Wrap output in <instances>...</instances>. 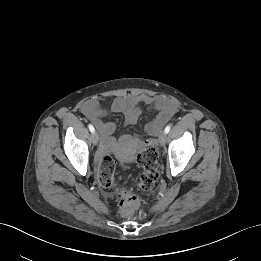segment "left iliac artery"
<instances>
[{"label":"left iliac artery","mask_w":261,"mask_h":261,"mask_svg":"<svg viewBox=\"0 0 261 261\" xmlns=\"http://www.w3.org/2000/svg\"><path fill=\"white\" fill-rule=\"evenodd\" d=\"M170 128H171V126H170V125L166 126V128H165L164 132H165L166 134H167V133H169V131H170Z\"/></svg>","instance_id":"left-iliac-artery-1"}]
</instances>
